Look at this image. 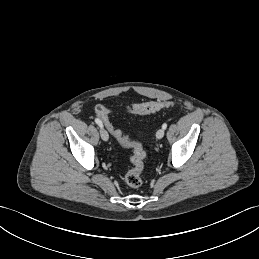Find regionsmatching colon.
I'll list each match as a JSON object with an SVG mask.
<instances>
[{"label": "colon", "mask_w": 259, "mask_h": 259, "mask_svg": "<svg viewBox=\"0 0 259 259\" xmlns=\"http://www.w3.org/2000/svg\"><path fill=\"white\" fill-rule=\"evenodd\" d=\"M171 103L167 101H156L147 102L142 104H136L127 107L125 110L132 114H148L156 112L164 107L170 106ZM97 116L99 120L104 124L107 129L113 134V136L126 147H131L133 149V154L131 157L132 168L125 175V182L131 188H138L142 185V173L144 170V159L145 151L142 144L138 141H132L129 137L124 135L120 130L115 129L111 122L109 121L110 109L99 106L97 108Z\"/></svg>", "instance_id": "5ec220e1"}]
</instances>
